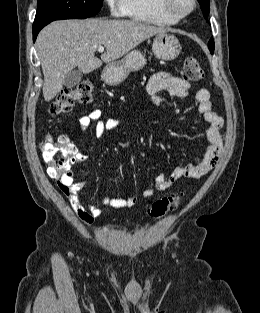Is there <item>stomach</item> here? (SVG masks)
<instances>
[{
  "label": "stomach",
  "instance_id": "obj_1",
  "mask_svg": "<svg viewBox=\"0 0 260 313\" xmlns=\"http://www.w3.org/2000/svg\"><path fill=\"white\" fill-rule=\"evenodd\" d=\"M154 55L163 60H174L181 52L178 39L170 33H158L152 44ZM146 59L138 50L128 53L122 60L109 63L102 72V80L109 85L122 83L133 71L144 67Z\"/></svg>",
  "mask_w": 260,
  "mask_h": 313
}]
</instances>
